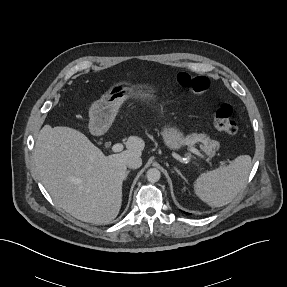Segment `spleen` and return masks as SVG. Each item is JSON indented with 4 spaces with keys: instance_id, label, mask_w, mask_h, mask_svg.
Segmentation results:
<instances>
[{
    "instance_id": "1",
    "label": "spleen",
    "mask_w": 287,
    "mask_h": 287,
    "mask_svg": "<svg viewBox=\"0 0 287 287\" xmlns=\"http://www.w3.org/2000/svg\"><path fill=\"white\" fill-rule=\"evenodd\" d=\"M251 168V157L240 155L228 166L202 173L194 184V191L211 207L227 205L243 189Z\"/></svg>"
}]
</instances>
